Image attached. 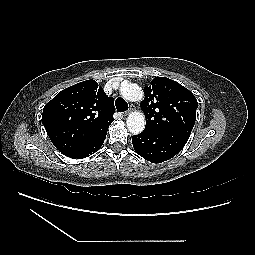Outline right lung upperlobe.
<instances>
[{"mask_svg":"<svg viewBox=\"0 0 255 255\" xmlns=\"http://www.w3.org/2000/svg\"><path fill=\"white\" fill-rule=\"evenodd\" d=\"M114 99L95 80H86L59 92L42 115L48 136L65 156L77 152L94 135L108 130L114 120Z\"/></svg>","mask_w":255,"mask_h":255,"instance_id":"cb5924a9","label":"right lung upper lobe"}]
</instances>
